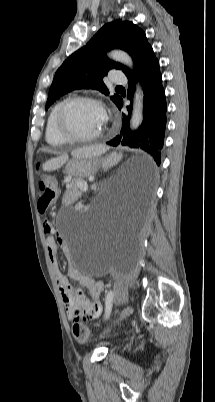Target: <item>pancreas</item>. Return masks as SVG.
I'll return each mask as SVG.
<instances>
[{"label": "pancreas", "instance_id": "pancreas-1", "mask_svg": "<svg viewBox=\"0 0 215 402\" xmlns=\"http://www.w3.org/2000/svg\"><path fill=\"white\" fill-rule=\"evenodd\" d=\"M84 183V182H83ZM81 190L83 191V189H80L78 181H74L73 183H71L68 187H67V191L66 193H70V192H76V194L78 196L81 195Z\"/></svg>", "mask_w": 215, "mask_h": 402}]
</instances>
